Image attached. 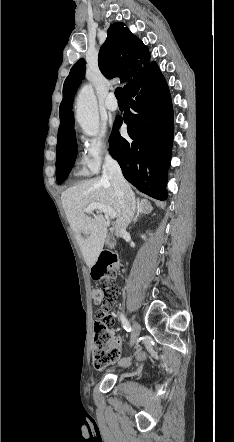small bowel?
I'll return each instance as SVG.
<instances>
[{
	"label": "small bowel",
	"instance_id": "c3829d8e",
	"mask_svg": "<svg viewBox=\"0 0 234 442\" xmlns=\"http://www.w3.org/2000/svg\"><path fill=\"white\" fill-rule=\"evenodd\" d=\"M115 317L113 314H97L94 320V327L97 331H106L107 328H114ZM116 343L120 345L121 340L117 339Z\"/></svg>",
	"mask_w": 234,
	"mask_h": 442
}]
</instances>
